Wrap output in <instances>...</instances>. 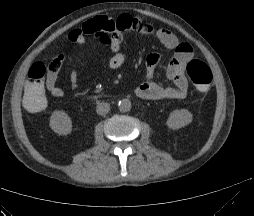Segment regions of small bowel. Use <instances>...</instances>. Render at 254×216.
I'll list each match as a JSON object with an SVG mask.
<instances>
[{
	"label": "small bowel",
	"mask_w": 254,
	"mask_h": 216,
	"mask_svg": "<svg viewBox=\"0 0 254 216\" xmlns=\"http://www.w3.org/2000/svg\"><path fill=\"white\" fill-rule=\"evenodd\" d=\"M95 32L109 34L108 46L113 54L109 60V67L113 70L121 68L125 62V57L121 52L125 33L133 32L158 39L165 48L172 51L167 62L166 76L174 86L163 87L152 80L155 70L161 62V55L151 53L146 58V79L136 88V96L146 100L183 99L187 96L189 85L185 76V66L192 59L194 52L189 43L180 41L174 33L167 29L156 27L147 21L133 19L127 15L121 16L117 20L105 17L92 19L80 28L70 31L66 40L71 43L84 44L86 37ZM59 58L62 59L63 56ZM58 72L59 69L48 70L45 78L46 89L55 98L64 95L63 89L57 85ZM69 81L73 88L78 86V74L75 69L70 71Z\"/></svg>",
	"instance_id": "1"
}]
</instances>
